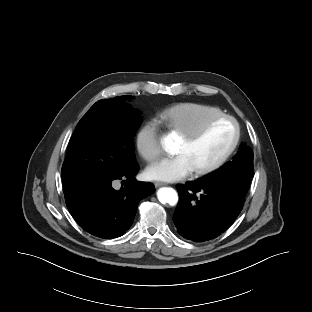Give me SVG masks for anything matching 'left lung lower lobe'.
<instances>
[{"label": "left lung lower lobe", "mask_w": 312, "mask_h": 312, "mask_svg": "<svg viewBox=\"0 0 312 312\" xmlns=\"http://www.w3.org/2000/svg\"><path fill=\"white\" fill-rule=\"evenodd\" d=\"M177 189L179 203L174 224L182 237L195 242L214 239L229 228L246 196L227 181L207 178Z\"/></svg>", "instance_id": "0a47b994"}]
</instances>
